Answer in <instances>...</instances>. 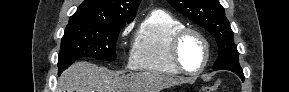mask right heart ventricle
Listing matches in <instances>:
<instances>
[{
  "instance_id": "obj_1",
  "label": "right heart ventricle",
  "mask_w": 289,
  "mask_h": 92,
  "mask_svg": "<svg viewBox=\"0 0 289 92\" xmlns=\"http://www.w3.org/2000/svg\"><path fill=\"white\" fill-rule=\"evenodd\" d=\"M183 23L164 11L152 12L143 22L134 42L130 66L135 70L163 75H178L171 55L170 44Z\"/></svg>"
}]
</instances>
